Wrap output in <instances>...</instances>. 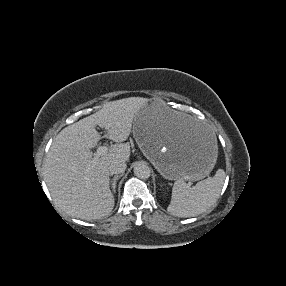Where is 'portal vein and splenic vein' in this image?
I'll return each instance as SVG.
<instances>
[{"label": "portal vein and splenic vein", "mask_w": 286, "mask_h": 286, "mask_svg": "<svg viewBox=\"0 0 286 286\" xmlns=\"http://www.w3.org/2000/svg\"><path fill=\"white\" fill-rule=\"evenodd\" d=\"M107 152H108V147L107 146H99L97 151H96L94 159H96V158H98L100 156L105 155Z\"/></svg>", "instance_id": "portal-vein-and-splenic-vein-1"}]
</instances>
